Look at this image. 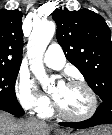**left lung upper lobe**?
Instances as JSON below:
<instances>
[{
  "mask_svg": "<svg viewBox=\"0 0 112 135\" xmlns=\"http://www.w3.org/2000/svg\"><path fill=\"white\" fill-rule=\"evenodd\" d=\"M57 41L102 101L112 99V41L104 18L88 9L55 10Z\"/></svg>",
  "mask_w": 112,
  "mask_h": 135,
  "instance_id": "1",
  "label": "left lung upper lobe"
}]
</instances>
